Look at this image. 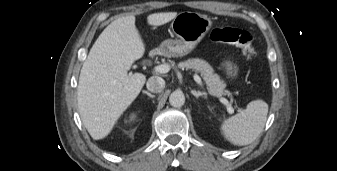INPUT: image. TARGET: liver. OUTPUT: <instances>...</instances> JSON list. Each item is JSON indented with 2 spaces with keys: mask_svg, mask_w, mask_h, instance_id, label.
I'll return each instance as SVG.
<instances>
[{
  "mask_svg": "<svg viewBox=\"0 0 337 171\" xmlns=\"http://www.w3.org/2000/svg\"><path fill=\"white\" fill-rule=\"evenodd\" d=\"M177 15L153 13L147 17V23L164 25ZM144 52L134 15L111 22L90 49L79 76L77 103L81 120L93 139L105 138L139 95L146 76L127 71Z\"/></svg>",
  "mask_w": 337,
  "mask_h": 171,
  "instance_id": "obj_1",
  "label": "liver"
}]
</instances>
